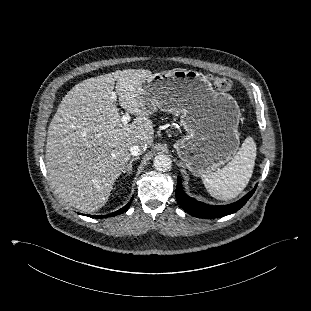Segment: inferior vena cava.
<instances>
[{
    "label": "inferior vena cava",
    "mask_w": 311,
    "mask_h": 311,
    "mask_svg": "<svg viewBox=\"0 0 311 311\" xmlns=\"http://www.w3.org/2000/svg\"><path fill=\"white\" fill-rule=\"evenodd\" d=\"M146 148H147L146 144L133 145L130 147V153L132 156H139L146 150Z\"/></svg>",
    "instance_id": "1"
}]
</instances>
